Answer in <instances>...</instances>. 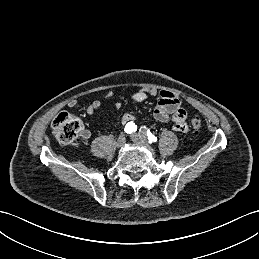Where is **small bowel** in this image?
I'll return each instance as SVG.
<instances>
[{"label":"small bowel","instance_id":"small-bowel-1","mask_svg":"<svg viewBox=\"0 0 259 259\" xmlns=\"http://www.w3.org/2000/svg\"><path fill=\"white\" fill-rule=\"evenodd\" d=\"M157 91L154 89L150 90H139L132 95V99L137 103L145 102L149 96H156ZM160 99L156 104L153 115L154 118L159 122H167L169 120L173 123V130L178 132H187L188 125L186 123L187 112L182 107V99L179 95L174 92L168 90H162L160 93ZM113 96L112 91H108L104 97V101L109 100ZM103 102L101 100H94L91 102L86 112L89 115L96 113L98 109L102 106ZM76 101L71 100L68 103L69 107H75ZM134 117L130 113H125L122 117V123L126 124L129 122H133ZM90 131L88 129H84L81 132V137L83 139H88L90 137Z\"/></svg>","mask_w":259,"mask_h":259}]
</instances>
